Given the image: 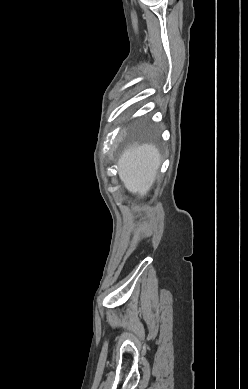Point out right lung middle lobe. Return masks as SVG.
<instances>
[{
    "label": "right lung middle lobe",
    "instance_id": "dd1d6c3e",
    "mask_svg": "<svg viewBox=\"0 0 248 389\" xmlns=\"http://www.w3.org/2000/svg\"><path fill=\"white\" fill-rule=\"evenodd\" d=\"M140 136H141V137H144V138H145V137L147 138V137L150 136V133H149V132H140Z\"/></svg>",
    "mask_w": 248,
    "mask_h": 389
}]
</instances>
